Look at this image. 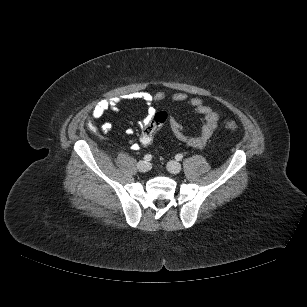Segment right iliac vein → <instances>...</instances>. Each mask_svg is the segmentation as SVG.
I'll use <instances>...</instances> for the list:
<instances>
[{
    "label": "right iliac vein",
    "instance_id": "63e3f726",
    "mask_svg": "<svg viewBox=\"0 0 307 307\" xmlns=\"http://www.w3.org/2000/svg\"><path fill=\"white\" fill-rule=\"evenodd\" d=\"M150 168H151L150 163H148L147 161H140L137 164V169L140 172H148L150 170Z\"/></svg>",
    "mask_w": 307,
    "mask_h": 307
}]
</instances>
